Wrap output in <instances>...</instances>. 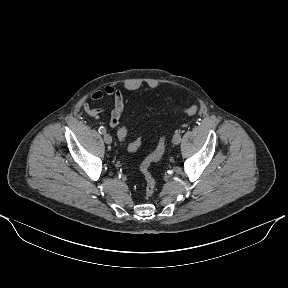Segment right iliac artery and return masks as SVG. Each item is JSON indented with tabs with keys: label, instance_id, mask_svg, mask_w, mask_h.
I'll return each mask as SVG.
<instances>
[{
	"label": "right iliac artery",
	"instance_id": "1",
	"mask_svg": "<svg viewBox=\"0 0 288 288\" xmlns=\"http://www.w3.org/2000/svg\"><path fill=\"white\" fill-rule=\"evenodd\" d=\"M100 134H105L106 133V128L104 126H100L98 129Z\"/></svg>",
	"mask_w": 288,
	"mask_h": 288
}]
</instances>
